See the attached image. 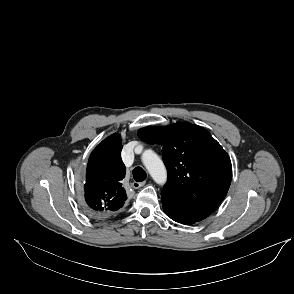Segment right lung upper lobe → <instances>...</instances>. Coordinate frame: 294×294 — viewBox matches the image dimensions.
<instances>
[{
    "mask_svg": "<svg viewBox=\"0 0 294 294\" xmlns=\"http://www.w3.org/2000/svg\"><path fill=\"white\" fill-rule=\"evenodd\" d=\"M121 150L120 135L114 133L94 149L88 160L85 200L91 211L99 217L110 216L127 199L121 183L126 171Z\"/></svg>",
    "mask_w": 294,
    "mask_h": 294,
    "instance_id": "right-lung-upper-lobe-1",
    "label": "right lung upper lobe"
}]
</instances>
